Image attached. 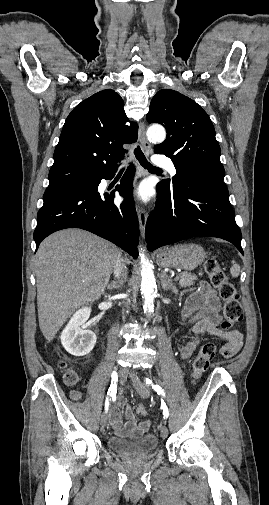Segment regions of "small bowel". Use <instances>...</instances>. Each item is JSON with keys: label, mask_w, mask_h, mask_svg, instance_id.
<instances>
[{"label": "small bowel", "mask_w": 269, "mask_h": 505, "mask_svg": "<svg viewBox=\"0 0 269 505\" xmlns=\"http://www.w3.org/2000/svg\"><path fill=\"white\" fill-rule=\"evenodd\" d=\"M182 316L184 321L191 326L195 337L181 348V359L190 358L200 343V337L205 335L223 337L227 340V343L221 348V354L225 358L236 355L241 349L242 333L239 331L226 332L219 327V301L207 282L202 281L198 289L188 297ZM125 416L127 421L123 423L119 407L114 406L111 409L110 424L117 436L138 438L151 425L150 421L137 422L130 405L125 407Z\"/></svg>", "instance_id": "c3829d8e"}]
</instances>
